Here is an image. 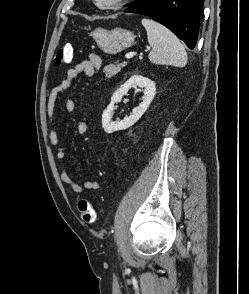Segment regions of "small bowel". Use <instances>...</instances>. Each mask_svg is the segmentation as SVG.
<instances>
[{
    "label": "small bowel",
    "instance_id": "obj_1",
    "mask_svg": "<svg viewBox=\"0 0 249 294\" xmlns=\"http://www.w3.org/2000/svg\"><path fill=\"white\" fill-rule=\"evenodd\" d=\"M102 67V59L94 53H90L88 58L80 61L72 68L68 69L66 78L57 84L51 91L47 102V117L49 122L48 138L51 146L56 151V158L59 162L66 159L68 148L63 146L60 142L57 127L53 122L56 102L60 95L66 94L69 91L72 81L81 73L87 77H92ZM65 109L67 112L72 113L76 109V104L73 99H67L65 102ZM89 130V125L86 121L81 120L77 123V132L81 135L86 134ZM60 180L63 184L67 185L75 194H81L84 190L95 191L100 189L101 185L96 180H87L82 184L76 182L62 166L59 172Z\"/></svg>",
    "mask_w": 249,
    "mask_h": 294
}]
</instances>
